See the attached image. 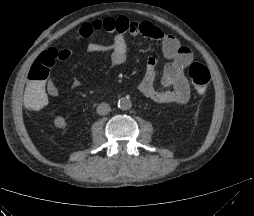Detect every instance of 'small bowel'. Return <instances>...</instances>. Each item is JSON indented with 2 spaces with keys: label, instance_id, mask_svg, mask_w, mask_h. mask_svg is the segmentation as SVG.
<instances>
[{
  "label": "small bowel",
  "instance_id": "small-bowel-1",
  "mask_svg": "<svg viewBox=\"0 0 254 216\" xmlns=\"http://www.w3.org/2000/svg\"><path fill=\"white\" fill-rule=\"evenodd\" d=\"M113 33L110 43H89L88 52H109L112 66H121L127 59V44L125 35H139L161 43L164 56L169 60L160 78L161 88L155 86L156 60H148L146 71L138 90L147 99L155 103L185 104L190 99V86L184 75V69L192 62L193 53L190 47L182 44L175 36L165 33L156 25L146 21H132L127 18H106L82 24L77 38H90L98 30ZM72 55L68 48L59 49L58 61H64ZM44 84L49 97H57L59 89L53 78H48ZM48 104V103H47Z\"/></svg>",
  "mask_w": 254,
  "mask_h": 216
}]
</instances>
